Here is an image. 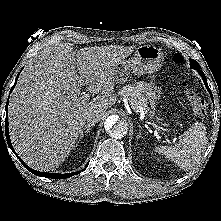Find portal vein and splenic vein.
<instances>
[{
  "label": "portal vein and splenic vein",
  "instance_id": "portal-vein-and-splenic-vein-1",
  "mask_svg": "<svg viewBox=\"0 0 221 221\" xmlns=\"http://www.w3.org/2000/svg\"><path fill=\"white\" fill-rule=\"evenodd\" d=\"M83 97H85V98H88L89 96H88V94L87 93H83Z\"/></svg>",
  "mask_w": 221,
  "mask_h": 221
}]
</instances>
